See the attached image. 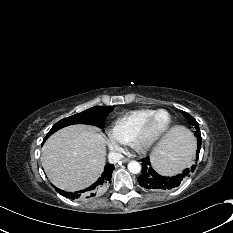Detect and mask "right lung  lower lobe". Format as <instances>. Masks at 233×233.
<instances>
[{
  "mask_svg": "<svg viewBox=\"0 0 233 233\" xmlns=\"http://www.w3.org/2000/svg\"><path fill=\"white\" fill-rule=\"evenodd\" d=\"M114 170V165L108 164L105 166V170L101 177L89 188L85 190H81L78 192H66L60 189L56 190L63 196L69 199H78V198H89V197H94L95 195L101 193L110 183L112 172Z\"/></svg>",
  "mask_w": 233,
  "mask_h": 233,
  "instance_id": "1",
  "label": "right lung lower lobe"
}]
</instances>
